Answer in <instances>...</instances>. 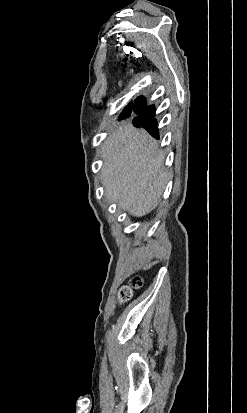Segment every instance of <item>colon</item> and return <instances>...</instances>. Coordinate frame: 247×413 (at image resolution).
<instances>
[{"instance_id":"colon-1","label":"colon","mask_w":247,"mask_h":413,"mask_svg":"<svg viewBox=\"0 0 247 413\" xmlns=\"http://www.w3.org/2000/svg\"><path fill=\"white\" fill-rule=\"evenodd\" d=\"M143 285V278L141 276H134L128 280L127 283L121 286L119 290L118 304L127 302L133 290L141 288Z\"/></svg>"}]
</instances>
